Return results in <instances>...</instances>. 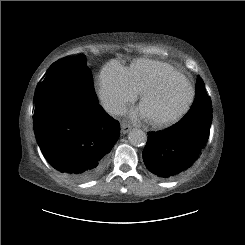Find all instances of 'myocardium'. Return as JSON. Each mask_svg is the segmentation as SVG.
<instances>
[{
    "instance_id": "myocardium-1",
    "label": "myocardium",
    "mask_w": 245,
    "mask_h": 245,
    "mask_svg": "<svg viewBox=\"0 0 245 245\" xmlns=\"http://www.w3.org/2000/svg\"><path fill=\"white\" fill-rule=\"evenodd\" d=\"M174 76H180L186 80V82L190 88V96H189L186 104L184 105V107L181 110H179L178 112L174 113L173 115L168 116V117H164V118H147L148 122L153 126L166 127V126H169V125L176 123L177 121H179L182 117H184L188 113V111L190 110V108L192 107V105L194 103L196 91H195V87H194L193 83L191 82L190 78L187 75H185L184 73H182L181 71L174 70V71H171L170 73L164 75L163 77H161L156 83L147 87L142 92L141 99H140V105L142 106L144 104V102L150 96L160 92L164 88V86Z\"/></svg>"
}]
</instances>
